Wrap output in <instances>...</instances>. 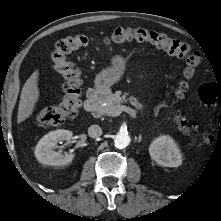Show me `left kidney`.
Instances as JSON below:
<instances>
[{
  "label": "left kidney",
  "mask_w": 221,
  "mask_h": 221,
  "mask_svg": "<svg viewBox=\"0 0 221 221\" xmlns=\"http://www.w3.org/2000/svg\"><path fill=\"white\" fill-rule=\"evenodd\" d=\"M149 154L153 160L164 167H178L182 164V154L172 137L162 135L149 146Z\"/></svg>",
  "instance_id": "5707ae66"
}]
</instances>
